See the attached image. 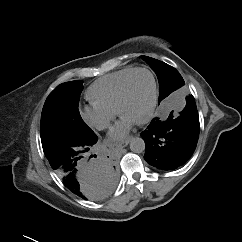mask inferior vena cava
Wrapping results in <instances>:
<instances>
[{
	"label": "inferior vena cava",
	"instance_id": "602c4592",
	"mask_svg": "<svg viewBox=\"0 0 242 242\" xmlns=\"http://www.w3.org/2000/svg\"><path fill=\"white\" fill-rule=\"evenodd\" d=\"M107 126H108L107 124H104V125L101 126V128L104 129Z\"/></svg>",
	"mask_w": 242,
	"mask_h": 242
}]
</instances>
